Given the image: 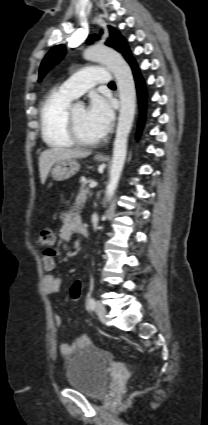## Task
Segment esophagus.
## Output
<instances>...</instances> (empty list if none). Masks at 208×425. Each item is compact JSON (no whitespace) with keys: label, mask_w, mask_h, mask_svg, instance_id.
<instances>
[{"label":"esophagus","mask_w":208,"mask_h":425,"mask_svg":"<svg viewBox=\"0 0 208 425\" xmlns=\"http://www.w3.org/2000/svg\"><path fill=\"white\" fill-rule=\"evenodd\" d=\"M97 156H99V157H104V154L100 153V154H98Z\"/></svg>","instance_id":"esophagus-1"}]
</instances>
